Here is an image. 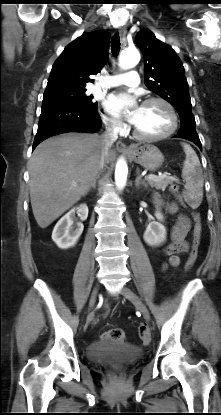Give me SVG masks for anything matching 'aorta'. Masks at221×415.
<instances>
[{
    "label": "aorta",
    "instance_id": "762f6f07",
    "mask_svg": "<svg viewBox=\"0 0 221 415\" xmlns=\"http://www.w3.org/2000/svg\"><path fill=\"white\" fill-rule=\"evenodd\" d=\"M140 61V54L137 50H125L120 54L119 65L123 69L135 67ZM128 166L124 158H119L115 168V182L118 189L122 190L127 181Z\"/></svg>",
    "mask_w": 221,
    "mask_h": 415
}]
</instances>
